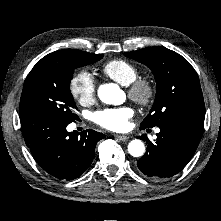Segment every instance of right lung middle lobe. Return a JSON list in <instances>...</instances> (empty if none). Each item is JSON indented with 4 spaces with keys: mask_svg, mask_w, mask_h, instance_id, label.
Returning a JSON list of instances; mask_svg holds the SVG:
<instances>
[{
    "mask_svg": "<svg viewBox=\"0 0 221 221\" xmlns=\"http://www.w3.org/2000/svg\"><path fill=\"white\" fill-rule=\"evenodd\" d=\"M102 57L79 51L61 60L41 59L24 82L20 114L36 111L68 123L74 121L77 107L69 88L74 69L94 63Z\"/></svg>",
    "mask_w": 221,
    "mask_h": 221,
    "instance_id": "1",
    "label": "right lung middle lobe"
}]
</instances>
